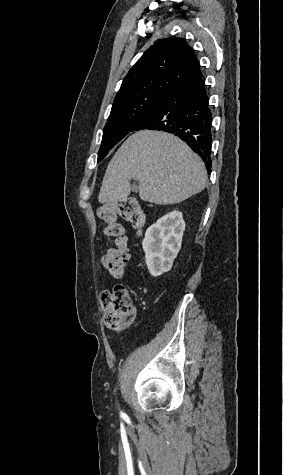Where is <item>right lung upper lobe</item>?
I'll use <instances>...</instances> for the list:
<instances>
[{"label": "right lung upper lobe", "mask_w": 283, "mask_h": 475, "mask_svg": "<svg viewBox=\"0 0 283 475\" xmlns=\"http://www.w3.org/2000/svg\"><path fill=\"white\" fill-rule=\"evenodd\" d=\"M201 77L198 59L184 39L158 40L129 70L114 103L155 90H173Z\"/></svg>", "instance_id": "obj_1"}]
</instances>
